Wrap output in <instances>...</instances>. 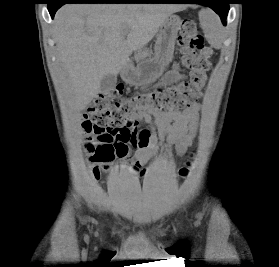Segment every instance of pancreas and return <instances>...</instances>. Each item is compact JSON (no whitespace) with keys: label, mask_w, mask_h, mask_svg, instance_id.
<instances>
[{"label":"pancreas","mask_w":279,"mask_h":267,"mask_svg":"<svg viewBox=\"0 0 279 267\" xmlns=\"http://www.w3.org/2000/svg\"><path fill=\"white\" fill-rule=\"evenodd\" d=\"M150 56V52L148 50H145V51H141L139 52L137 55H136V59L137 60H140V59H144L146 57H149Z\"/></svg>","instance_id":"1"}]
</instances>
